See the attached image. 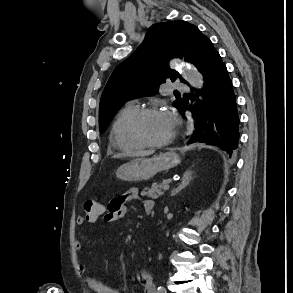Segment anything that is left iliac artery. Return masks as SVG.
Listing matches in <instances>:
<instances>
[{
	"label": "left iliac artery",
	"instance_id": "1",
	"mask_svg": "<svg viewBox=\"0 0 293 293\" xmlns=\"http://www.w3.org/2000/svg\"><path fill=\"white\" fill-rule=\"evenodd\" d=\"M158 293H166V289L162 286L158 287Z\"/></svg>",
	"mask_w": 293,
	"mask_h": 293
}]
</instances>
